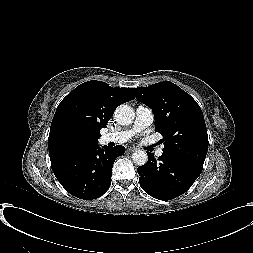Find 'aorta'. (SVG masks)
I'll use <instances>...</instances> for the list:
<instances>
[{
  "label": "aorta",
  "instance_id": "aorta-1",
  "mask_svg": "<svg viewBox=\"0 0 253 253\" xmlns=\"http://www.w3.org/2000/svg\"><path fill=\"white\" fill-rule=\"evenodd\" d=\"M114 115L115 120L120 125H129L133 122L135 118V112L133 108L125 104L118 106L117 109L115 110ZM132 159L136 165L142 166L146 164L148 160V155L143 150H137L132 154Z\"/></svg>",
  "mask_w": 253,
  "mask_h": 253
}]
</instances>
